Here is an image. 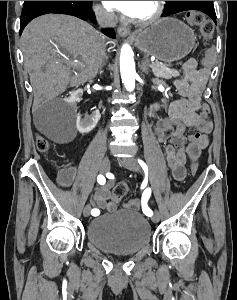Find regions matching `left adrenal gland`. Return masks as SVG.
Wrapping results in <instances>:
<instances>
[{"label":"left adrenal gland","instance_id":"obj_1","mask_svg":"<svg viewBox=\"0 0 237 300\" xmlns=\"http://www.w3.org/2000/svg\"><path fill=\"white\" fill-rule=\"evenodd\" d=\"M148 65H149L148 57H143V59L141 61L140 69H141L142 73H146V75H149Z\"/></svg>","mask_w":237,"mask_h":300}]
</instances>
